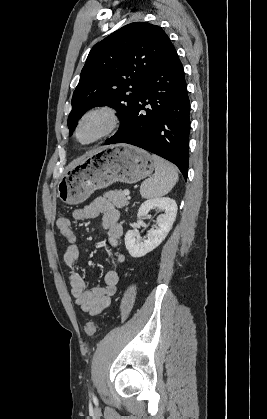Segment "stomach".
I'll list each match as a JSON object with an SVG mask.
<instances>
[{"mask_svg":"<svg viewBox=\"0 0 267 419\" xmlns=\"http://www.w3.org/2000/svg\"><path fill=\"white\" fill-rule=\"evenodd\" d=\"M152 156L127 144L106 146L68 168L57 184L61 201L75 205L114 182L134 184L154 170Z\"/></svg>","mask_w":267,"mask_h":419,"instance_id":"stomach-1","label":"stomach"}]
</instances>
